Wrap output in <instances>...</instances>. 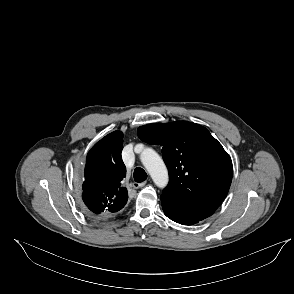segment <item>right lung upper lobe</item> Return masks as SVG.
Listing matches in <instances>:
<instances>
[{
    "label": "right lung upper lobe",
    "instance_id": "cb5924a9",
    "mask_svg": "<svg viewBox=\"0 0 294 294\" xmlns=\"http://www.w3.org/2000/svg\"><path fill=\"white\" fill-rule=\"evenodd\" d=\"M122 149L123 134L115 131L96 143L87 155L82 197L95 216L108 217L127 202V189L121 185L126 175Z\"/></svg>",
    "mask_w": 294,
    "mask_h": 294
}]
</instances>
